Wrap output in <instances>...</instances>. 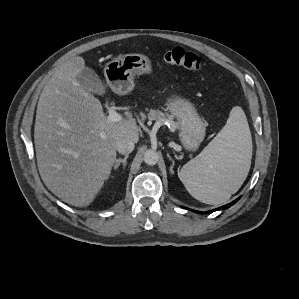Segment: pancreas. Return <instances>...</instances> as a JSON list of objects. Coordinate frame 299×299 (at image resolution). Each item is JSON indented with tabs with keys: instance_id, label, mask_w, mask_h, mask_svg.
Returning a JSON list of instances; mask_svg holds the SVG:
<instances>
[{
	"instance_id": "cf45deb5",
	"label": "pancreas",
	"mask_w": 299,
	"mask_h": 299,
	"mask_svg": "<svg viewBox=\"0 0 299 299\" xmlns=\"http://www.w3.org/2000/svg\"><path fill=\"white\" fill-rule=\"evenodd\" d=\"M149 120L159 121L161 123L169 122L171 125V130L175 131L178 129L179 125L177 122L173 121V117L168 114H164L161 111L151 109L148 113Z\"/></svg>"
}]
</instances>
